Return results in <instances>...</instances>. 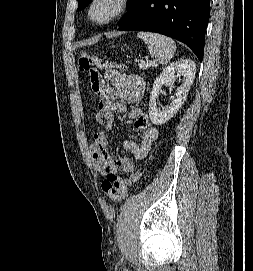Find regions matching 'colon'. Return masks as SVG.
<instances>
[{
	"label": "colon",
	"mask_w": 253,
	"mask_h": 271,
	"mask_svg": "<svg viewBox=\"0 0 253 271\" xmlns=\"http://www.w3.org/2000/svg\"><path fill=\"white\" fill-rule=\"evenodd\" d=\"M79 68L89 73L91 89L95 94H98L102 85L99 81V72L97 70L113 69L115 65L97 55L82 52L79 59ZM139 177L140 172L132 174L129 178L113 174L101 183V189L109 199L119 201L125 198L128 188L134 184Z\"/></svg>",
	"instance_id": "5ec220e1"
}]
</instances>
